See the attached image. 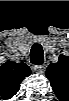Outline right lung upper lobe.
<instances>
[{"label": "right lung upper lobe", "mask_w": 69, "mask_h": 101, "mask_svg": "<svg viewBox=\"0 0 69 101\" xmlns=\"http://www.w3.org/2000/svg\"><path fill=\"white\" fill-rule=\"evenodd\" d=\"M31 74L23 62H5L0 66V90L5 98H12L19 90L21 81Z\"/></svg>", "instance_id": "1"}]
</instances>
